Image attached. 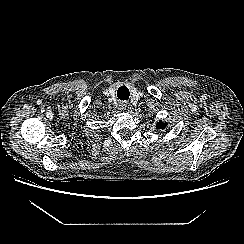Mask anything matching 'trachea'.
<instances>
[{
    "label": "trachea",
    "instance_id": "1",
    "mask_svg": "<svg viewBox=\"0 0 244 244\" xmlns=\"http://www.w3.org/2000/svg\"><path fill=\"white\" fill-rule=\"evenodd\" d=\"M117 96L121 100H127L129 98V90L126 86H121L117 91Z\"/></svg>",
    "mask_w": 244,
    "mask_h": 244
}]
</instances>
